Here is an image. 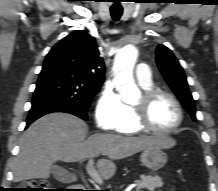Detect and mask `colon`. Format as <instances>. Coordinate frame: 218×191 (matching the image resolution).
Here are the masks:
<instances>
[{
  "instance_id": "5ec220e1",
  "label": "colon",
  "mask_w": 218,
  "mask_h": 191,
  "mask_svg": "<svg viewBox=\"0 0 218 191\" xmlns=\"http://www.w3.org/2000/svg\"><path fill=\"white\" fill-rule=\"evenodd\" d=\"M20 191H49L44 181H30L22 185Z\"/></svg>"
}]
</instances>
